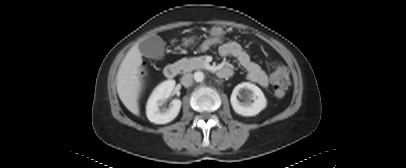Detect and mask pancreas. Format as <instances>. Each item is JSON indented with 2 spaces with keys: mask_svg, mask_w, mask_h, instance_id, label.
<instances>
[{
  "mask_svg": "<svg viewBox=\"0 0 406 168\" xmlns=\"http://www.w3.org/2000/svg\"><path fill=\"white\" fill-rule=\"evenodd\" d=\"M177 64L184 72H190L195 69L203 68L205 61L202 58H183L179 60Z\"/></svg>",
  "mask_w": 406,
  "mask_h": 168,
  "instance_id": "cf45deb5",
  "label": "pancreas"
}]
</instances>
